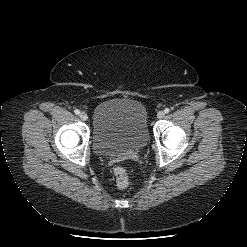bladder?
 <instances>
[{
  "label": "bladder",
  "instance_id": "obj_1",
  "mask_svg": "<svg viewBox=\"0 0 247 247\" xmlns=\"http://www.w3.org/2000/svg\"><path fill=\"white\" fill-rule=\"evenodd\" d=\"M149 140L145 106L130 98L99 103L93 113L92 144L102 156H124L143 149Z\"/></svg>",
  "mask_w": 247,
  "mask_h": 247
}]
</instances>
